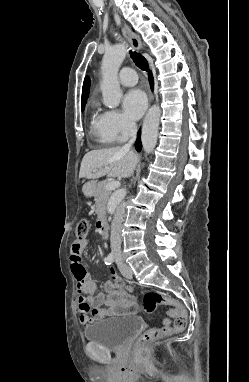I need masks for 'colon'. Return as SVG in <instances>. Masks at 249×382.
Wrapping results in <instances>:
<instances>
[{
    "instance_id": "colon-1",
    "label": "colon",
    "mask_w": 249,
    "mask_h": 382,
    "mask_svg": "<svg viewBox=\"0 0 249 382\" xmlns=\"http://www.w3.org/2000/svg\"><path fill=\"white\" fill-rule=\"evenodd\" d=\"M88 232V221L85 219L80 220L76 228V239L78 241L85 240ZM159 305L169 306L167 313L169 316L174 317V324L171 325L168 321H166L161 327L149 329L141 334L135 345L137 354H141L143 348L149 346L158 339L171 335L175 331L182 330L187 324L186 310L179 302L163 296L156 291H148L145 293L143 299V307L148 314H151Z\"/></svg>"
}]
</instances>
